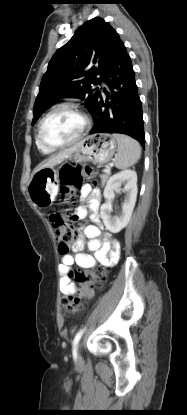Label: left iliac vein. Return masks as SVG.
Segmentation results:
<instances>
[{
	"mask_svg": "<svg viewBox=\"0 0 187 415\" xmlns=\"http://www.w3.org/2000/svg\"><path fill=\"white\" fill-rule=\"evenodd\" d=\"M80 347H81V345H79L78 351H77V359H76V363L77 364H81L83 362V358H82V356L80 354Z\"/></svg>",
	"mask_w": 187,
	"mask_h": 415,
	"instance_id": "left-iliac-vein-1",
	"label": "left iliac vein"
}]
</instances>
